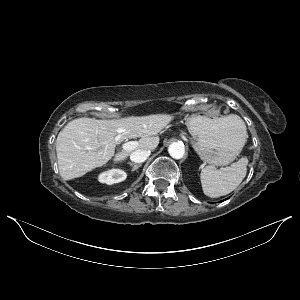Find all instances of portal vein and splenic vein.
Listing matches in <instances>:
<instances>
[{
	"instance_id": "portal-vein-and-splenic-vein-1",
	"label": "portal vein and splenic vein",
	"mask_w": 300,
	"mask_h": 300,
	"mask_svg": "<svg viewBox=\"0 0 300 300\" xmlns=\"http://www.w3.org/2000/svg\"><path fill=\"white\" fill-rule=\"evenodd\" d=\"M137 145H138L137 141H129V142L122 144V149L124 151H131V150L135 149L137 147Z\"/></svg>"
}]
</instances>
